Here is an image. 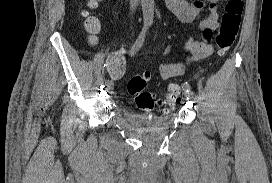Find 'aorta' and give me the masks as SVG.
<instances>
[{"label":"aorta","instance_id":"obj_1","mask_svg":"<svg viewBox=\"0 0 272 183\" xmlns=\"http://www.w3.org/2000/svg\"><path fill=\"white\" fill-rule=\"evenodd\" d=\"M143 20L145 24H152L154 20V0H141Z\"/></svg>","mask_w":272,"mask_h":183}]
</instances>
